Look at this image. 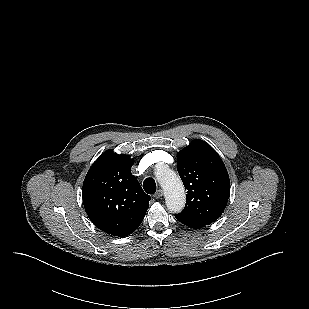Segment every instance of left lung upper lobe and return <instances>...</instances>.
I'll return each mask as SVG.
<instances>
[{"mask_svg":"<svg viewBox=\"0 0 309 309\" xmlns=\"http://www.w3.org/2000/svg\"><path fill=\"white\" fill-rule=\"evenodd\" d=\"M177 170L187 195L185 208L175 217L200 226L218 219L229 199L230 180L217 152L194 140L177 154Z\"/></svg>","mask_w":309,"mask_h":309,"instance_id":"1","label":"left lung upper lobe"}]
</instances>
